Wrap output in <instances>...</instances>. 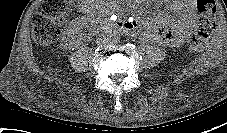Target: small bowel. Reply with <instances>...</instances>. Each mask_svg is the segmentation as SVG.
Here are the masks:
<instances>
[{"label":"small bowel","instance_id":"c3829d8e","mask_svg":"<svg viewBox=\"0 0 227 133\" xmlns=\"http://www.w3.org/2000/svg\"><path fill=\"white\" fill-rule=\"evenodd\" d=\"M167 5L155 18L143 22L144 30L140 31L139 23L134 18L123 22L133 35L140 34L145 40L162 46H177L183 43L195 30V0H160ZM98 8V7H97ZM175 14L179 18L175 17Z\"/></svg>","mask_w":227,"mask_h":133}]
</instances>
